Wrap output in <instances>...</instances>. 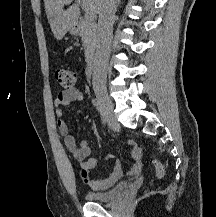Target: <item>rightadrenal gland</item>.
I'll use <instances>...</instances> for the list:
<instances>
[{"instance_id":"right-adrenal-gland-1","label":"right adrenal gland","mask_w":216,"mask_h":217,"mask_svg":"<svg viewBox=\"0 0 216 217\" xmlns=\"http://www.w3.org/2000/svg\"><path fill=\"white\" fill-rule=\"evenodd\" d=\"M120 2H121V0H117V6H119V5H120Z\"/></svg>"}]
</instances>
